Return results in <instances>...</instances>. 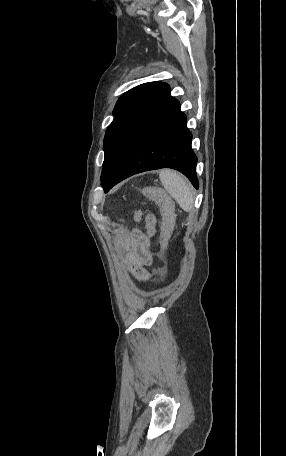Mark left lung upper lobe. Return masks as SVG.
Returning a JSON list of instances; mask_svg holds the SVG:
<instances>
[{
    "label": "left lung upper lobe",
    "instance_id": "left-lung-upper-lobe-1",
    "mask_svg": "<svg viewBox=\"0 0 286 456\" xmlns=\"http://www.w3.org/2000/svg\"><path fill=\"white\" fill-rule=\"evenodd\" d=\"M174 101L169 85L162 82L138 85L119 98L104 138L101 185L105 191L136 137Z\"/></svg>",
    "mask_w": 286,
    "mask_h": 456
}]
</instances>
